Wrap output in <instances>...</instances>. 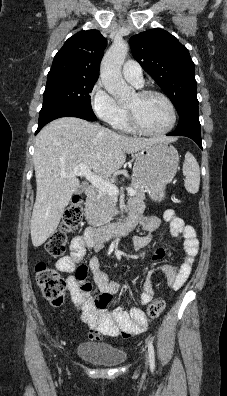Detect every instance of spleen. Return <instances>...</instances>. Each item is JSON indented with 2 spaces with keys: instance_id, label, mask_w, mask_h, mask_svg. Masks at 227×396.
<instances>
[{
  "instance_id": "spleen-1",
  "label": "spleen",
  "mask_w": 227,
  "mask_h": 396,
  "mask_svg": "<svg viewBox=\"0 0 227 396\" xmlns=\"http://www.w3.org/2000/svg\"><path fill=\"white\" fill-rule=\"evenodd\" d=\"M183 174L185 176L184 186L186 190L191 194H196L200 185V168L197 160L190 152L185 155Z\"/></svg>"
}]
</instances>
